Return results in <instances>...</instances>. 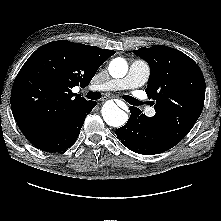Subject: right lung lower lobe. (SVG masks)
Instances as JSON below:
<instances>
[{
  "instance_id": "98d812e1",
  "label": "right lung lower lobe",
  "mask_w": 221,
  "mask_h": 221,
  "mask_svg": "<svg viewBox=\"0 0 221 221\" xmlns=\"http://www.w3.org/2000/svg\"><path fill=\"white\" fill-rule=\"evenodd\" d=\"M96 104L95 101H89L76 114L48 129L30 142L46 152H59L68 149L77 140L86 116Z\"/></svg>"
}]
</instances>
